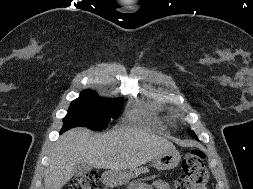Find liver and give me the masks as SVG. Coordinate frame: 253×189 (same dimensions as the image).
<instances>
[{
  "label": "liver",
  "instance_id": "obj_1",
  "mask_svg": "<svg viewBox=\"0 0 253 189\" xmlns=\"http://www.w3.org/2000/svg\"><path fill=\"white\" fill-rule=\"evenodd\" d=\"M173 143L137 127H120L104 135L86 128L64 133L49 154L45 189H61L73 176L77 163L113 171L136 170L162 152L175 150Z\"/></svg>",
  "mask_w": 253,
  "mask_h": 189
}]
</instances>
